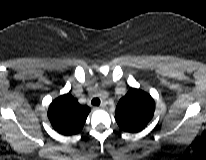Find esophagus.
I'll return each mask as SVG.
<instances>
[{
	"mask_svg": "<svg viewBox=\"0 0 206 160\" xmlns=\"http://www.w3.org/2000/svg\"><path fill=\"white\" fill-rule=\"evenodd\" d=\"M106 107V102H102L101 104H100V106L99 107H96V108H105Z\"/></svg>",
	"mask_w": 206,
	"mask_h": 160,
	"instance_id": "34e87169",
	"label": "esophagus"
}]
</instances>
